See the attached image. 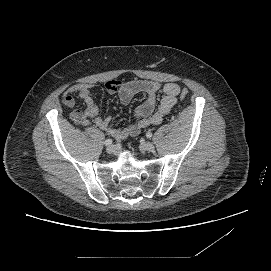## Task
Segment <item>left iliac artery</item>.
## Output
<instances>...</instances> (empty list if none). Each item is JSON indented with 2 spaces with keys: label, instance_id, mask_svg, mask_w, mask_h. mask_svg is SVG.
<instances>
[{
  "label": "left iliac artery",
  "instance_id": "44dca946",
  "mask_svg": "<svg viewBox=\"0 0 271 271\" xmlns=\"http://www.w3.org/2000/svg\"><path fill=\"white\" fill-rule=\"evenodd\" d=\"M146 136H147V138H151V137H152V133H151L150 131H148V132L146 133Z\"/></svg>",
  "mask_w": 271,
  "mask_h": 271
}]
</instances>
